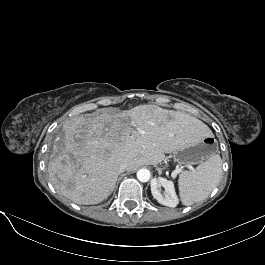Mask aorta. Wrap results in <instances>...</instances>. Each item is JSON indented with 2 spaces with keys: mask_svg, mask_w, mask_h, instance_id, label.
<instances>
[{
  "mask_svg": "<svg viewBox=\"0 0 265 265\" xmlns=\"http://www.w3.org/2000/svg\"><path fill=\"white\" fill-rule=\"evenodd\" d=\"M150 171L146 168H142L137 172V178L140 182H148L150 180Z\"/></svg>",
  "mask_w": 265,
  "mask_h": 265,
  "instance_id": "aorta-1",
  "label": "aorta"
}]
</instances>
